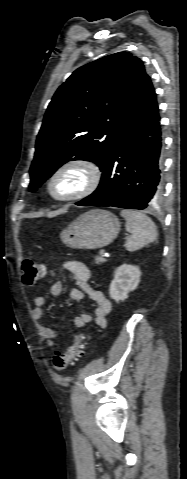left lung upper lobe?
Instances as JSON below:
<instances>
[{
	"label": "left lung upper lobe",
	"mask_w": 187,
	"mask_h": 479,
	"mask_svg": "<svg viewBox=\"0 0 187 479\" xmlns=\"http://www.w3.org/2000/svg\"><path fill=\"white\" fill-rule=\"evenodd\" d=\"M146 75L143 62L128 52L105 56L74 71L47 108L30 168V190L71 160L92 161L102 169Z\"/></svg>",
	"instance_id": "obj_1"
}]
</instances>
